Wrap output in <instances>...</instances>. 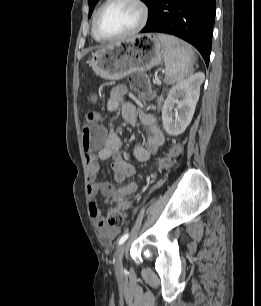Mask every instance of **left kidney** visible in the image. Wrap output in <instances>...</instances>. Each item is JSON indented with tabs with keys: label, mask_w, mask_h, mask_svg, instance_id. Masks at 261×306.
Here are the masks:
<instances>
[{
	"label": "left kidney",
	"mask_w": 261,
	"mask_h": 306,
	"mask_svg": "<svg viewBox=\"0 0 261 306\" xmlns=\"http://www.w3.org/2000/svg\"><path fill=\"white\" fill-rule=\"evenodd\" d=\"M204 79V73L198 72L170 89L162 108L163 127L169 135L182 134L191 123Z\"/></svg>",
	"instance_id": "left-kidney-1"
}]
</instances>
